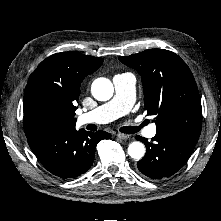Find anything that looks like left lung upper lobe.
<instances>
[{"mask_svg":"<svg viewBox=\"0 0 221 221\" xmlns=\"http://www.w3.org/2000/svg\"><path fill=\"white\" fill-rule=\"evenodd\" d=\"M119 60L141 75L145 110L156 117L157 132L174 130L200 136V95L192 72L178 55L151 49Z\"/></svg>","mask_w":221,"mask_h":221,"instance_id":"left-lung-upper-lobe-1","label":"left lung upper lobe"}]
</instances>
